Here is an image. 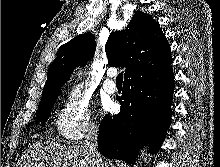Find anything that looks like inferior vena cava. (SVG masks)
Wrapping results in <instances>:
<instances>
[{
  "label": "inferior vena cava",
  "mask_w": 220,
  "mask_h": 167,
  "mask_svg": "<svg viewBox=\"0 0 220 167\" xmlns=\"http://www.w3.org/2000/svg\"><path fill=\"white\" fill-rule=\"evenodd\" d=\"M98 145V130L95 125L91 124L85 131V143L84 148L91 156L96 167H108L102 160V157L97 149Z\"/></svg>",
  "instance_id": "obj_1"
}]
</instances>
